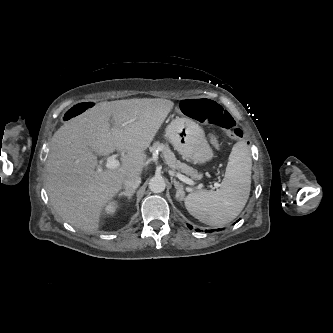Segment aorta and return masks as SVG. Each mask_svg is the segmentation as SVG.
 <instances>
[{
  "label": "aorta",
  "instance_id": "obj_1",
  "mask_svg": "<svg viewBox=\"0 0 333 333\" xmlns=\"http://www.w3.org/2000/svg\"><path fill=\"white\" fill-rule=\"evenodd\" d=\"M166 183L162 176H154L150 179L149 189L153 193H161L165 190Z\"/></svg>",
  "mask_w": 333,
  "mask_h": 333
}]
</instances>
